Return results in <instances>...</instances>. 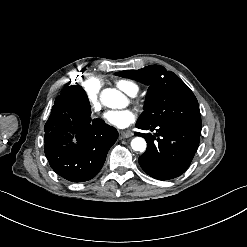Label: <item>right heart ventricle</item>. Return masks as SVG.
Segmentation results:
<instances>
[{"mask_svg":"<svg viewBox=\"0 0 247 247\" xmlns=\"http://www.w3.org/2000/svg\"><path fill=\"white\" fill-rule=\"evenodd\" d=\"M124 90H126V91H128V92H130V93H132L133 91H132V89H129L127 86H126V84L125 83H121V85H120Z\"/></svg>","mask_w":247,"mask_h":247,"instance_id":"1","label":"right heart ventricle"}]
</instances>
